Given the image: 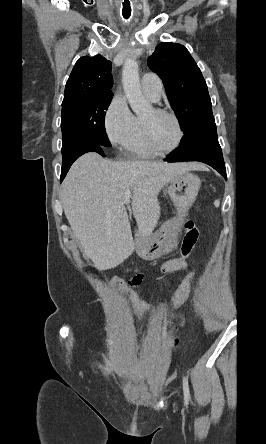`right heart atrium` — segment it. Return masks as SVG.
I'll return each instance as SVG.
<instances>
[{
  "instance_id": "right-heart-atrium-1",
  "label": "right heart atrium",
  "mask_w": 266,
  "mask_h": 444,
  "mask_svg": "<svg viewBox=\"0 0 266 444\" xmlns=\"http://www.w3.org/2000/svg\"><path fill=\"white\" fill-rule=\"evenodd\" d=\"M133 117L124 96L115 94L104 115V131L113 146L125 144L132 129Z\"/></svg>"
}]
</instances>
